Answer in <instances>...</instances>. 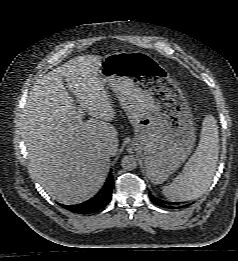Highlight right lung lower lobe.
<instances>
[{"instance_id":"98d812e1","label":"right lung lower lobe","mask_w":238,"mask_h":261,"mask_svg":"<svg viewBox=\"0 0 238 261\" xmlns=\"http://www.w3.org/2000/svg\"><path fill=\"white\" fill-rule=\"evenodd\" d=\"M114 186L112 173L109 174V177L104 184L103 188L90 200L83 202L78 205H61L69 211L79 213V214H89L103 209L111 200L112 189Z\"/></svg>"}]
</instances>
